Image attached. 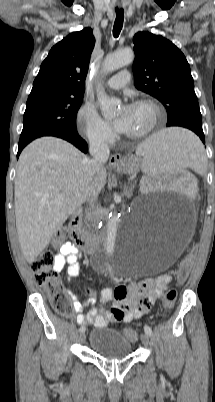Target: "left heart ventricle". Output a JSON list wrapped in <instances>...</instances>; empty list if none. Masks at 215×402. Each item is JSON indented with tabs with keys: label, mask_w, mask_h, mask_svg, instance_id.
<instances>
[{
	"label": "left heart ventricle",
	"mask_w": 215,
	"mask_h": 402,
	"mask_svg": "<svg viewBox=\"0 0 215 402\" xmlns=\"http://www.w3.org/2000/svg\"><path fill=\"white\" fill-rule=\"evenodd\" d=\"M151 111L147 106L131 107V124L127 134H135L143 131L150 123Z\"/></svg>",
	"instance_id": "obj_1"
}]
</instances>
